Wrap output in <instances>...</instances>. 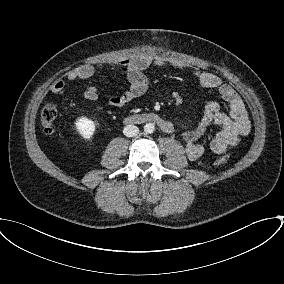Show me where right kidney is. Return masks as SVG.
I'll use <instances>...</instances> for the list:
<instances>
[{
  "instance_id": "ca27d5eb",
  "label": "right kidney",
  "mask_w": 284,
  "mask_h": 284,
  "mask_svg": "<svg viewBox=\"0 0 284 284\" xmlns=\"http://www.w3.org/2000/svg\"><path fill=\"white\" fill-rule=\"evenodd\" d=\"M96 126L97 124L82 116V117H79L76 121V130L77 132L82 136L83 139L85 140H91L95 131H96Z\"/></svg>"
}]
</instances>
